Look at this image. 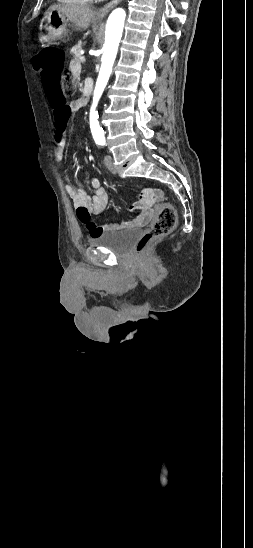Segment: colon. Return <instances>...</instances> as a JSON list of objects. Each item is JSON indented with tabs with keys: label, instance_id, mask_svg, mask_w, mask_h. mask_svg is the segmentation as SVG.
<instances>
[{
	"label": "colon",
	"instance_id": "colon-1",
	"mask_svg": "<svg viewBox=\"0 0 253 548\" xmlns=\"http://www.w3.org/2000/svg\"><path fill=\"white\" fill-rule=\"evenodd\" d=\"M64 54L58 49L46 48L35 56L40 71V82L46 91L50 105H55V123L61 132H66L72 123L69 113L71 96L75 93L74 77L64 71ZM61 139L60 135L56 136ZM177 222L174 207L166 202L156 203V216L145 234L137 243L138 253L144 252L156 239L171 233Z\"/></svg>",
	"mask_w": 253,
	"mask_h": 548
}]
</instances>
